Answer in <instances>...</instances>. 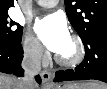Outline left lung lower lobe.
<instances>
[{
	"label": "left lung lower lobe",
	"instance_id": "0a47b994",
	"mask_svg": "<svg viewBox=\"0 0 107 89\" xmlns=\"http://www.w3.org/2000/svg\"><path fill=\"white\" fill-rule=\"evenodd\" d=\"M85 58L74 70L57 71L55 82L95 79L107 83V30L94 32L83 40Z\"/></svg>",
	"mask_w": 107,
	"mask_h": 89
}]
</instances>
